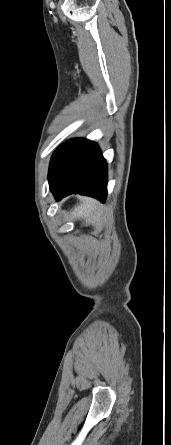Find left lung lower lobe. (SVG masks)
Instances as JSON below:
<instances>
[{"label":"left lung lower lobe","instance_id":"0a47b994","mask_svg":"<svg viewBox=\"0 0 171 445\" xmlns=\"http://www.w3.org/2000/svg\"><path fill=\"white\" fill-rule=\"evenodd\" d=\"M48 180L56 200L80 193L105 201L107 165L98 145L73 139L61 145L51 159Z\"/></svg>","mask_w":171,"mask_h":445}]
</instances>
